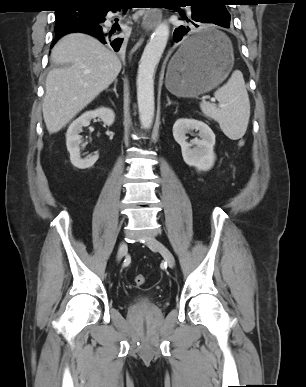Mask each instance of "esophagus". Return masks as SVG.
<instances>
[{"mask_svg": "<svg viewBox=\"0 0 306 387\" xmlns=\"http://www.w3.org/2000/svg\"><path fill=\"white\" fill-rule=\"evenodd\" d=\"M162 18V12L157 8H150L144 12L142 27L144 30L149 31L154 29Z\"/></svg>", "mask_w": 306, "mask_h": 387, "instance_id": "34e87169", "label": "esophagus"}]
</instances>
